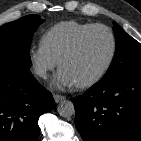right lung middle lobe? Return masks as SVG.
<instances>
[{
    "mask_svg": "<svg viewBox=\"0 0 141 141\" xmlns=\"http://www.w3.org/2000/svg\"><path fill=\"white\" fill-rule=\"evenodd\" d=\"M43 22L38 15H27L0 27V71L30 69L32 37Z\"/></svg>",
    "mask_w": 141,
    "mask_h": 141,
    "instance_id": "right-lung-middle-lobe-1",
    "label": "right lung middle lobe"
}]
</instances>
